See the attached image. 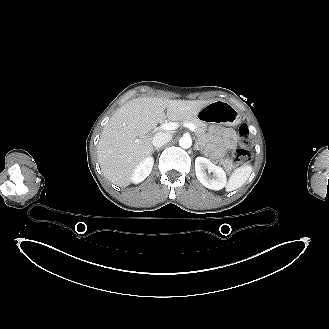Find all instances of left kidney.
Wrapping results in <instances>:
<instances>
[{"instance_id":"obj_1","label":"left kidney","mask_w":329,"mask_h":329,"mask_svg":"<svg viewBox=\"0 0 329 329\" xmlns=\"http://www.w3.org/2000/svg\"><path fill=\"white\" fill-rule=\"evenodd\" d=\"M213 173V177H209L206 173ZM195 172L197 179L206 187L212 190H221L227 184L226 173L222 167L213 164L205 157H197L195 159Z\"/></svg>"}]
</instances>
